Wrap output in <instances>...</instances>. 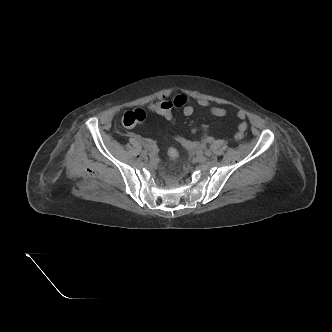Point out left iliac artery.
<instances>
[{
  "label": "left iliac artery",
  "mask_w": 332,
  "mask_h": 332,
  "mask_svg": "<svg viewBox=\"0 0 332 332\" xmlns=\"http://www.w3.org/2000/svg\"><path fill=\"white\" fill-rule=\"evenodd\" d=\"M204 153H205V155L208 156V157H210V156L212 155V153H211L209 150H205Z\"/></svg>",
  "instance_id": "44dca946"
}]
</instances>
